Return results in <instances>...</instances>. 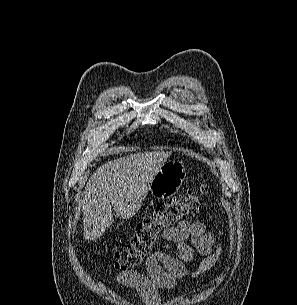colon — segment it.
Listing matches in <instances>:
<instances>
[{
    "mask_svg": "<svg viewBox=\"0 0 297 305\" xmlns=\"http://www.w3.org/2000/svg\"><path fill=\"white\" fill-rule=\"evenodd\" d=\"M206 191L207 185L200 183L194 189L158 204L153 214L138 224L129 242L115 250V267L121 271L138 267L151 253L163 231L199 212Z\"/></svg>",
    "mask_w": 297,
    "mask_h": 305,
    "instance_id": "5ec220e1",
    "label": "colon"
}]
</instances>
